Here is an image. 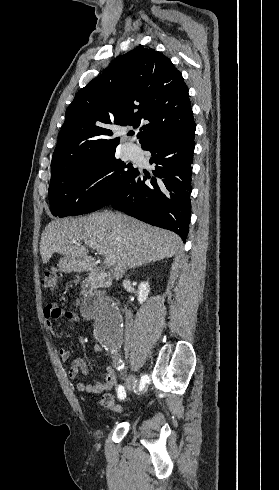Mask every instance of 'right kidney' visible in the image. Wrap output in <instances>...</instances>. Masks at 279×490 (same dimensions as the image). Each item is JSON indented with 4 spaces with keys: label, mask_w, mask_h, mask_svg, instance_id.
<instances>
[{
    "label": "right kidney",
    "mask_w": 279,
    "mask_h": 490,
    "mask_svg": "<svg viewBox=\"0 0 279 490\" xmlns=\"http://www.w3.org/2000/svg\"><path fill=\"white\" fill-rule=\"evenodd\" d=\"M150 294V286L148 282H141L138 286V294H137V300L139 304H143L145 300H147L148 296Z\"/></svg>",
    "instance_id": "right-kidney-1"
}]
</instances>
